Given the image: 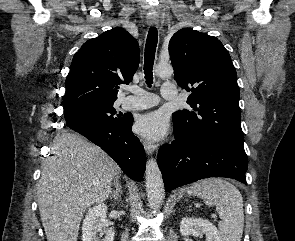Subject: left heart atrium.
<instances>
[{
	"instance_id": "1",
	"label": "left heart atrium",
	"mask_w": 295,
	"mask_h": 241,
	"mask_svg": "<svg viewBox=\"0 0 295 241\" xmlns=\"http://www.w3.org/2000/svg\"><path fill=\"white\" fill-rule=\"evenodd\" d=\"M136 131L143 136L158 140L163 138L167 132V121L158 112L141 116L135 125Z\"/></svg>"
}]
</instances>
